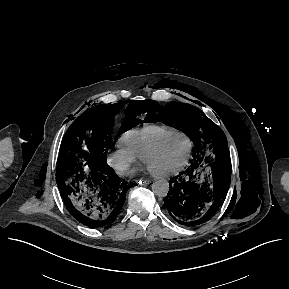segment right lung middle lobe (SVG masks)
Masks as SVG:
<instances>
[{
    "label": "right lung middle lobe",
    "instance_id": "1",
    "mask_svg": "<svg viewBox=\"0 0 289 289\" xmlns=\"http://www.w3.org/2000/svg\"><path fill=\"white\" fill-rule=\"evenodd\" d=\"M129 103L124 121L116 137L141 123L140 101L127 100L112 105H97L81 114L67 130L59 151L56 181L65 186L84 167L105 161L103 151L111 137V122L119 108Z\"/></svg>",
    "mask_w": 289,
    "mask_h": 289
}]
</instances>
